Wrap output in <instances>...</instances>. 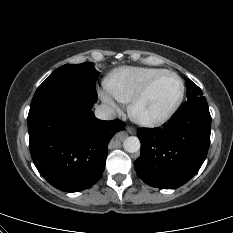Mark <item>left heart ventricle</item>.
I'll return each mask as SVG.
<instances>
[{
    "instance_id": "obj_1",
    "label": "left heart ventricle",
    "mask_w": 233,
    "mask_h": 233,
    "mask_svg": "<svg viewBox=\"0 0 233 233\" xmlns=\"http://www.w3.org/2000/svg\"><path fill=\"white\" fill-rule=\"evenodd\" d=\"M179 90V82L174 76H162L139 104L137 108L138 115L143 118L160 116L176 100Z\"/></svg>"
}]
</instances>
